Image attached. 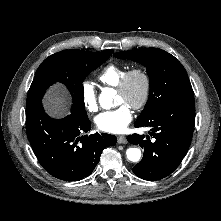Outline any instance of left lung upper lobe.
I'll list each match as a JSON object with an SVG mask.
<instances>
[{
  "instance_id": "left-lung-upper-lobe-1",
  "label": "left lung upper lobe",
  "mask_w": 221,
  "mask_h": 221,
  "mask_svg": "<svg viewBox=\"0 0 221 221\" xmlns=\"http://www.w3.org/2000/svg\"><path fill=\"white\" fill-rule=\"evenodd\" d=\"M114 56L146 67L150 80L149 98L136 121L145 120L156 110L175 103L194 102L187 72L173 55L159 48H141L117 52Z\"/></svg>"
}]
</instances>
